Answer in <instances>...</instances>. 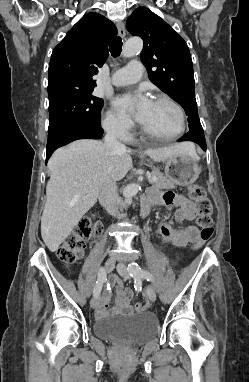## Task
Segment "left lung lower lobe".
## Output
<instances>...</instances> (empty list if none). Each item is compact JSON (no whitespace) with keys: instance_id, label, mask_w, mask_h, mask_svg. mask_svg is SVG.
<instances>
[{"instance_id":"left-lung-lower-lobe-1","label":"left lung lower lobe","mask_w":249,"mask_h":382,"mask_svg":"<svg viewBox=\"0 0 249 382\" xmlns=\"http://www.w3.org/2000/svg\"><path fill=\"white\" fill-rule=\"evenodd\" d=\"M179 142L182 141H193L197 143L203 150H206V141L203 131H189L186 135L181 137Z\"/></svg>"}]
</instances>
